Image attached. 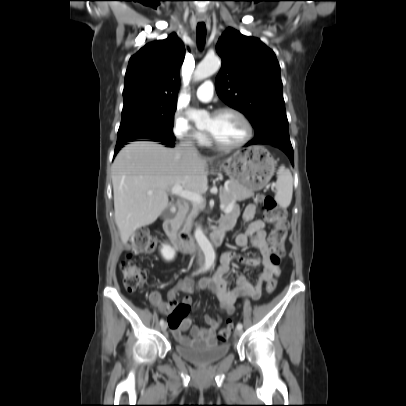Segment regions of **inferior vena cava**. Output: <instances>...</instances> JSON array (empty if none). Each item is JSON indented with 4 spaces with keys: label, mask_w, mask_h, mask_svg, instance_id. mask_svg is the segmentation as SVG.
<instances>
[{
    "label": "inferior vena cava",
    "mask_w": 406,
    "mask_h": 406,
    "mask_svg": "<svg viewBox=\"0 0 406 406\" xmlns=\"http://www.w3.org/2000/svg\"><path fill=\"white\" fill-rule=\"evenodd\" d=\"M178 148L182 151H185V152L195 155V156L199 154L198 150L196 149V147L193 145V143L191 141L181 142L178 145Z\"/></svg>",
    "instance_id": "inferior-vena-cava-1"
}]
</instances>
